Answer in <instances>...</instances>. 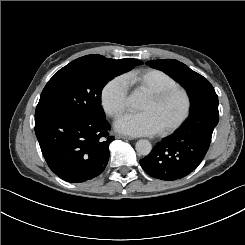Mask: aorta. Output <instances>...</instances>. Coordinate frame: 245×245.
I'll return each mask as SVG.
<instances>
[{
    "label": "aorta",
    "mask_w": 245,
    "mask_h": 245,
    "mask_svg": "<svg viewBox=\"0 0 245 245\" xmlns=\"http://www.w3.org/2000/svg\"><path fill=\"white\" fill-rule=\"evenodd\" d=\"M129 101L132 104H137L140 102V97L138 95H132L129 97ZM135 149L139 155L147 156L152 150V145L150 141L146 139H140L136 142Z\"/></svg>",
    "instance_id": "1"
}]
</instances>
